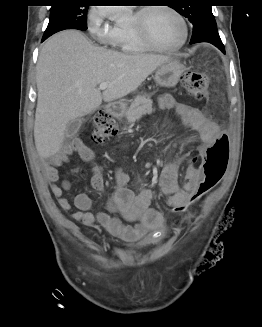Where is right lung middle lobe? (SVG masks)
<instances>
[{
  "label": "right lung middle lobe",
  "instance_id": "right-lung-middle-lobe-1",
  "mask_svg": "<svg viewBox=\"0 0 262 327\" xmlns=\"http://www.w3.org/2000/svg\"><path fill=\"white\" fill-rule=\"evenodd\" d=\"M50 12L49 24L43 38L64 29L86 30L88 6L77 4V0H57Z\"/></svg>",
  "mask_w": 262,
  "mask_h": 327
}]
</instances>
